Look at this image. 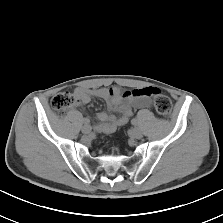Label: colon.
I'll use <instances>...</instances> for the list:
<instances>
[{
	"mask_svg": "<svg viewBox=\"0 0 223 223\" xmlns=\"http://www.w3.org/2000/svg\"><path fill=\"white\" fill-rule=\"evenodd\" d=\"M76 104V98L69 92L57 93L51 100V106L58 113H64ZM154 109L159 116L168 117L171 113L170 99L160 93H154Z\"/></svg>",
	"mask_w": 223,
	"mask_h": 223,
	"instance_id": "colon-1",
	"label": "colon"
}]
</instances>
